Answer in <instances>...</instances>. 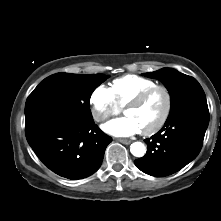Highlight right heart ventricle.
Masks as SVG:
<instances>
[{"label": "right heart ventricle", "instance_id": "e07e8e85", "mask_svg": "<svg viewBox=\"0 0 221 221\" xmlns=\"http://www.w3.org/2000/svg\"><path fill=\"white\" fill-rule=\"evenodd\" d=\"M154 85L156 82L152 79L138 75H125L113 80L111 91L117 104L122 108L137 95Z\"/></svg>", "mask_w": 221, "mask_h": 221}]
</instances>
